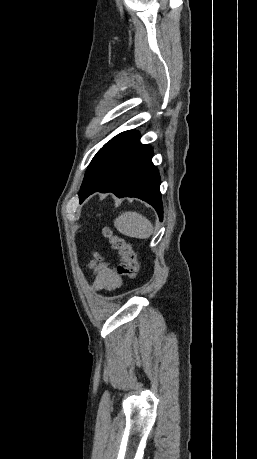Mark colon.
<instances>
[{
    "mask_svg": "<svg viewBox=\"0 0 257 459\" xmlns=\"http://www.w3.org/2000/svg\"><path fill=\"white\" fill-rule=\"evenodd\" d=\"M106 237L109 238L111 247L120 256L118 273L126 278L136 277L139 269L138 254L130 241L118 235H113L110 230L105 231Z\"/></svg>",
    "mask_w": 257,
    "mask_h": 459,
    "instance_id": "5ec220e1",
    "label": "colon"
}]
</instances>
